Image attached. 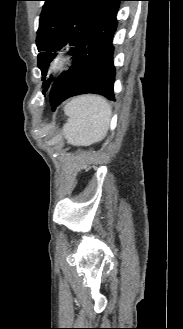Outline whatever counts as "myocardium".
Listing matches in <instances>:
<instances>
[{
	"instance_id": "1",
	"label": "myocardium",
	"mask_w": 183,
	"mask_h": 329,
	"mask_svg": "<svg viewBox=\"0 0 183 329\" xmlns=\"http://www.w3.org/2000/svg\"><path fill=\"white\" fill-rule=\"evenodd\" d=\"M75 53L73 50L66 48L58 51L50 60L48 72L57 74L66 70L74 61Z\"/></svg>"
}]
</instances>
